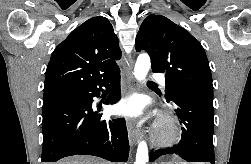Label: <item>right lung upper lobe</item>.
<instances>
[{
  "mask_svg": "<svg viewBox=\"0 0 251 164\" xmlns=\"http://www.w3.org/2000/svg\"><path fill=\"white\" fill-rule=\"evenodd\" d=\"M121 58L119 42L109 20L92 17L73 30L52 53L44 93L90 85L112 77Z\"/></svg>",
  "mask_w": 251,
  "mask_h": 164,
  "instance_id": "obj_1",
  "label": "right lung upper lobe"
}]
</instances>
